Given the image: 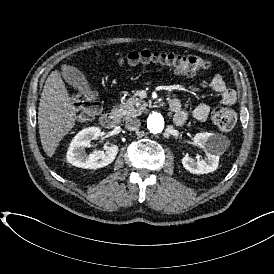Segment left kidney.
I'll list each match as a JSON object with an SVG mask.
<instances>
[{
	"mask_svg": "<svg viewBox=\"0 0 274 274\" xmlns=\"http://www.w3.org/2000/svg\"><path fill=\"white\" fill-rule=\"evenodd\" d=\"M224 137L218 133H197L193 141L196 145L202 147L206 153L205 159L195 160L186 154L182 158L183 167L193 174H207L214 172L219 165V157L226 150Z\"/></svg>",
	"mask_w": 274,
	"mask_h": 274,
	"instance_id": "1",
	"label": "left kidney"
}]
</instances>
